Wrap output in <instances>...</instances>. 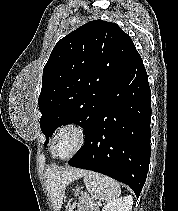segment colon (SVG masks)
I'll use <instances>...</instances> for the list:
<instances>
[{
  "mask_svg": "<svg viewBox=\"0 0 178 211\" xmlns=\"http://www.w3.org/2000/svg\"><path fill=\"white\" fill-rule=\"evenodd\" d=\"M69 211H78L77 208H70Z\"/></svg>",
  "mask_w": 178,
  "mask_h": 211,
  "instance_id": "colon-1",
  "label": "colon"
}]
</instances>
